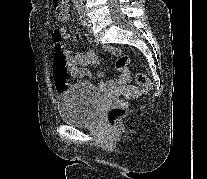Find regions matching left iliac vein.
<instances>
[{
  "instance_id": "obj_1",
  "label": "left iliac vein",
  "mask_w": 207,
  "mask_h": 179,
  "mask_svg": "<svg viewBox=\"0 0 207 179\" xmlns=\"http://www.w3.org/2000/svg\"><path fill=\"white\" fill-rule=\"evenodd\" d=\"M86 22H87V29L90 33H92V24H91V20L86 17Z\"/></svg>"
}]
</instances>
